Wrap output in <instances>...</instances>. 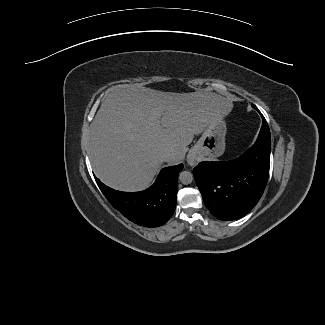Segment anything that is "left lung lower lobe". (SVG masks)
<instances>
[{
    "instance_id": "1",
    "label": "left lung lower lobe",
    "mask_w": 325,
    "mask_h": 325,
    "mask_svg": "<svg viewBox=\"0 0 325 325\" xmlns=\"http://www.w3.org/2000/svg\"><path fill=\"white\" fill-rule=\"evenodd\" d=\"M261 116L259 136L242 156L228 162L203 161L193 170L206 208L219 220L241 218L263 194L269 176L271 136Z\"/></svg>"
}]
</instances>
